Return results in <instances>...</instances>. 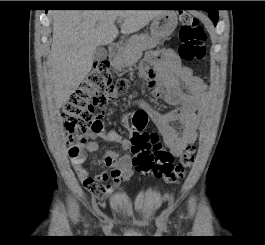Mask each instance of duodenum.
<instances>
[{
	"instance_id": "obj_1",
	"label": "duodenum",
	"mask_w": 265,
	"mask_h": 245,
	"mask_svg": "<svg viewBox=\"0 0 265 245\" xmlns=\"http://www.w3.org/2000/svg\"><path fill=\"white\" fill-rule=\"evenodd\" d=\"M120 47H121L120 42H114L110 45L108 52H109V57L112 60H116L119 57Z\"/></svg>"
}]
</instances>
